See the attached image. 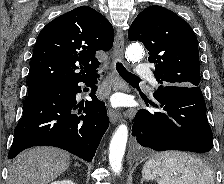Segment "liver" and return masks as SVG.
I'll use <instances>...</instances> for the list:
<instances>
[{"label":"liver","instance_id":"1","mask_svg":"<svg viewBox=\"0 0 224 184\" xmlns=\"http://www.w3.org/2000/svg\"><path fill=\"white\" fill-rule=\"evenodd\" d=\"M70 165V155L54 147H35L20 153L8 170L7 184H48Z\"/></svg>","mask_w":224,"mask_h":184}]
</instances>
